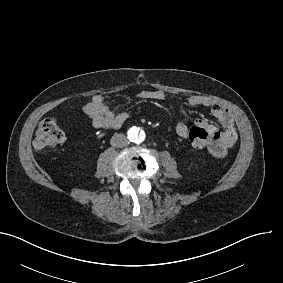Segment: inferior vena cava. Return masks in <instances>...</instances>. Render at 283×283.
I'll return each mask as SVG.
<instances>
[{
	"label": "inferior vena cava",
	"instance_id": "inferior-vena-cava-1",
	"mask_svg": "<svg viewBox=\"0 0 283 283\" xmlns=\"http://www.w3.org/2000/svg\"><path fill=\"white\" fill-rule=\"evenodd\" d=\"M128 140L124 134H114L110 140V144L116 148H123L127 145Z\"/></svg>",
	"mask_w": 283,
	"mask_h": 283
}]
</instances>
